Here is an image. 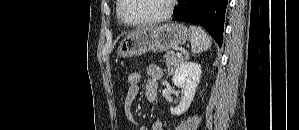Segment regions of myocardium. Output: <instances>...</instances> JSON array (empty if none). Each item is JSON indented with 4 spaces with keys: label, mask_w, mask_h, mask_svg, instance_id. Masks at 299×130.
I'll return each mask as SVG.
<instances>
[{
    "label": "myocardium",
    "mask_w": 299,
    "mask_h": 130,
    "mask_svg": "<svg viewBox=\"0 0 299 130\" xmlns=\"http://www.w3.org/2000/svg\"><path fill=\"white\" fill-rule=\"evenodd\" d=\"M126 3H127V0H120V8H119V18H120V20L122 21V23H124L127 26L135 27V28H141V27H147V26H152V25H155V24H159V23L164 22L167 19H169L170 16L172 15V13H173L176 1L175 0H169L168 5H167V9L163 14H161V15L155 17V18H152V19H149V20H146V21H141V22H133L125 16L124 11H125Z\"/></svg>",
    "instance_id": "1"
}]
</instances>
